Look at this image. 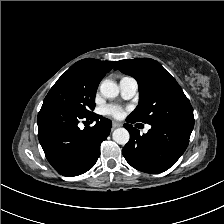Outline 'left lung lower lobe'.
<instances>
[{
    "label": "left lung lower lobe",
    "mask_w": 224,
    "mask_h": 224,
    "mask_svg": "<svg viewBox=\"0 0 224 224\" xmlns=\"http://www.w3.org/2000/svg\"><path fill=\"white\" fill-rule=\"evenodd\" d=\"M130 123L136 121L127 118ZM148 133L140 135L130 124L124 127L130 132V140L123 148L126 161L135 169L146 173H160L173 166L186 150L194 118H176L150 124Z\"/></svg>",
    "instance_id": "obj_1"
}]
</instances>
